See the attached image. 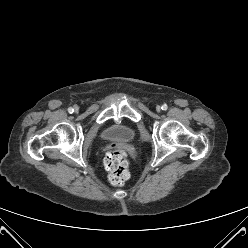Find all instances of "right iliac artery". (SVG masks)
Returning a JSON list of instances; mask_svg holds the SVG:
<instances>
[{
    "label": "right iliac artery",
    "instance_id": "1",
    "mask_svg": "<svg viewBox=\"0 0 248 248\" xmlns=\"http://www.w3.org/2000/svg\"><path fill=\"white\" fill-rule=\"evenodd\" d=\"M68 112L72 114L74 112V109L72 107L68 108Z\"/></svg>",
    "mask_w": 248,
    "mask_h": 248
}]
</instances>
